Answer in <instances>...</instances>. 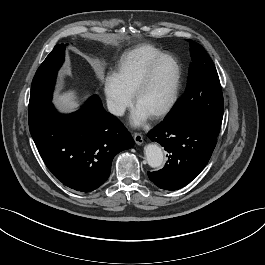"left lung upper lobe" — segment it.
<instances>
[{
    "label": "left lung upper lobe",
    "instance_id": "5c2ea615",
    "mask_svg": "<svg viewBox=\"0 0 265 265\" xmlns=\"http://www.w3.org/2000/svg\"><path fill=\"white\" fill-rule=\"evenodd\" d=\"M190 55L186 90L164 120L194 119L218 134L223 119V95L216 68L196 42H190Z\"/></svg>",
    "mask_w": 265,
    "mask_h": 265
}]
</instances>
